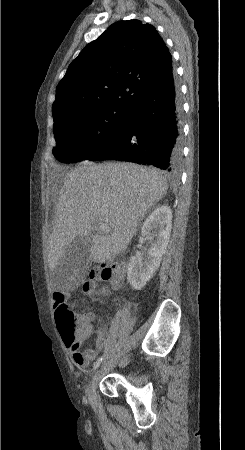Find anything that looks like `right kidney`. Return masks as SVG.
<instances>
[{"instance_id":"right-kidney-1","label":"right kidney","mask_w":245,"mask_h":450,"mask_svg":"<svg viewBox=\"0 0 245 450\" xmlns=\"http://www.w3.org/2000/svg\"><path fill=\"white\" fill-rule=\"evenodd\" d=\"M171 220L172 211L166 205L157 207L145 220L139 242L142 244L146 238L152 240L148 256L142 259L140 254H136L130 258L128 263L127 279L135 290H141L158 269L169 242Z\"/></svg>"}]
</instances>
